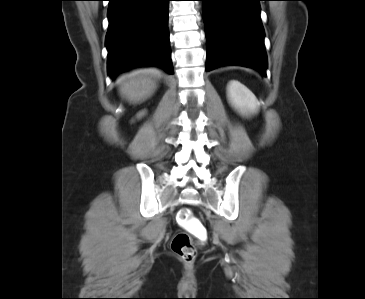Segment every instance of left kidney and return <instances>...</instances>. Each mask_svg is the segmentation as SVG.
Segmentation results:
<instances>
[{
    "label": "left kidney",
    "mask_w": 365,
    "mask_h": 299,
    "mask_svg": "<svg viewBox=\"0 0 365 299\" xmlns=\"http://www.w3.org/2000/svg\"><path fill=\"white\" fill-rule=\"evenodd\" d=\"M231 105L241 114L249 115L258 111L259 105L255 95L238 81H230L227 87Z\"/></svg>",
    "instance_id": "left-kidney-1"
}]
</instances>
